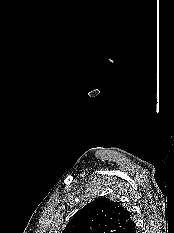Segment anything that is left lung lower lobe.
<instances>
[{
    "instance_id": "left-lung-lower-lobe-1",
    "label": "left lung lower lobe",
    "mask_w": 174,
    "mask_h": 233,
    "mask_svg": "<svg viewBox=\"0 0 174 233\" xmlns=\"http://www.w3.org/2000/svg\"><path fill=\"white\" fill-rule=\"evenodd\" d=\"M122 233H136V225L133 222Z\"/></svg>"
}]
</instances>
